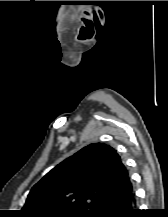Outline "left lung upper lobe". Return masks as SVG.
<instances>
[{"instance_id":"5c2ea615","label":"left lung upper lobe","mask_w":168,"mask_h":217,"mask_svg":"<svg viewBox=\"0 0 168 217\" xmlns=\"http://www.w3.org/2000/svg\"><path fill=\"white\" fill-rule=\"evenodd\" d=\"M129 182L113 148L90 144L35 184L22 210L28 217H96L105 201Z\"/></svg>"}]
</instances>
